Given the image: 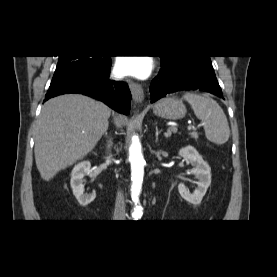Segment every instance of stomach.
<instances>
[{
	"mask_svg": "<svg viewBox=\"0 0 277 277\" xmlns=\"http://www.w3.org/2000/svg\"><path fill=\"white\" fill-rule=\"evenodd\" d=\"M153 112L159 117L177 120L183 118L187 110L182 100L175 97H166L154 105Z\"/></svg>",
	"mask_w": 277,
	"mask_h": 277,
	"instance_id": "1",
	"label": "stomach"
}]
</instances>
